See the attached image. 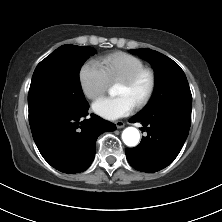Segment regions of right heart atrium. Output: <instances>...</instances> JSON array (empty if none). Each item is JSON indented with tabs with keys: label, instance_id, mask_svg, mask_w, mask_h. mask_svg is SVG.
<instances>
[{
	"label": "right heart atrium",
	"instance_id": "1",
	"mask_svg": "<svg viewBox=\"0 0 222 222\" xmlns=\"http://www.w3.org/2000/svg\"><path fill=\"white\" fill-rule=\"evenodd\" d=\"M79 83L85 97L95 100L106 92L109 79L97 61L89 60L79 70Z\"/></svg>",
	"mask_w": 222,
	"mask_h": 222
}]
</instances>
